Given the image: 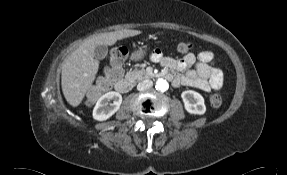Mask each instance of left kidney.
<instances>
[{
  "label": "left kidney",
  "mask_w": 287,
  "mask_h": 175,
  "mask_svg": "<svg viewBox=\"0 0 287 175\" xmlns=\"http://www.w3.org/2000/svg\"><path fill=\"white\" fill-rule=\"evenodd\" d=\"M181 97L187 112L198 115L205 113L206 106L204 104V98L201 94L192 90H187L182 92Z\"/></svg>",
  "instance_id": "1"
}]
</instances>
